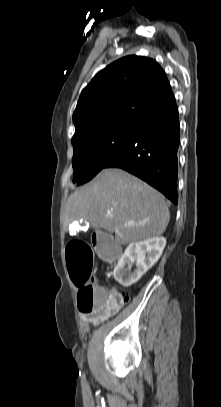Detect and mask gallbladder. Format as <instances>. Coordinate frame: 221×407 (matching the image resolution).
I'll list each match as a JSON object with an SVG mask.
<instances>
[{"instance_id":"1","label":"gallbladder","mask_w":221,"mask_h":407,"mask_svg":"<svg viewBox=\"0 0 221 407\" xmlns=\"http://www.w3.org/2000/svg\"><path fill=\"white\" fill-rule=\"evenodd\" d=\"M110 241H111V244H112V243H113V240L111 239Z\"/></svg>"}]
</instances>
